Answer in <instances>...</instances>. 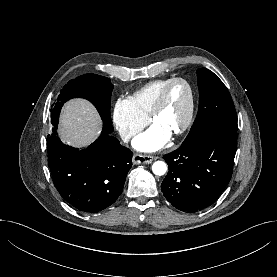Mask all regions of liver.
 Segmentation results:
<instances>
[{
	"label": "liver",
	"mask_w": 277,
	"mask_h": 277,
	"mask_svg": "<svg viewBox=\"0 0 277 277\" xmlns=\"http://www.w3.org/2000/svg\"><path fill=\"white\" fill-rule=\"evenodd\" d=\"M101 127L95 107L85 99H73L62 109L58 133L64 143L85 147L99 136Z\"/></svg>",
	"instance_id": "liver-1"
}]
</instances>
